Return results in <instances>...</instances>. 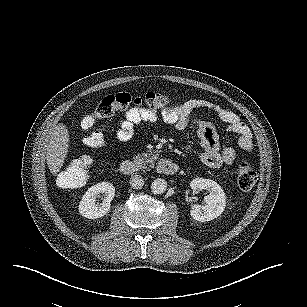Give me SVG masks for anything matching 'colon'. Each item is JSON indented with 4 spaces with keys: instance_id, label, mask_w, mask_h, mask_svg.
Returning <instances> with one entry per match:
<instances>
[{
    "instance_id": "1",
    "label": "colon",
    "mask_w": 307,
    "mask_h": 307,
    "mask_svg": "<svg viewBox=\"0 0 307 307\" xmlns=\"http://www.w3.org/2000/svg\"><path fill=\"white\" fill-rule=\"evenodd\" d=\"M171 99L166 93H148L144 97H132L128 93H118L103 98L96 108L82 120L85 128L94 125L97 119L106 118L119 111L142 108L154 111L170 105ZM84 144L91 148H102L106 139L100 131H93L84 137ZM93 160L89 156L73 159L57 176V183L62 188H75L84 185L92 173ZM257 171L248 161H243L237 170L239 187L250 190L257 182Z\"/></svg>"
}]
</instances>
